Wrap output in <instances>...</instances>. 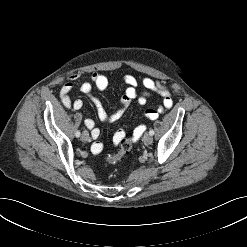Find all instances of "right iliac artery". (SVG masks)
Segmentation results:
<instances>
[{"instance_id": "1", "label": "right iliac artery", "mask_w": 247, "mask_h": 247, "mask_svg": "<svg viewBox=\"0 0 247 247\" xmlns=\"http://www.w3.org/2000/svg\"><path fill=\"white\" fill-rule=\"evenodd\" d=\"M75 136H76V137H80V131H77V132L75 133Z\"/></svg>"}]
</instances>
